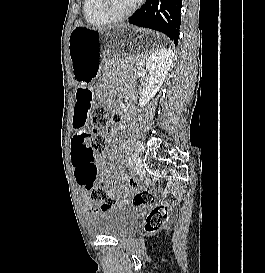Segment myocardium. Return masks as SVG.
Here are the masks:
<instances>
[{"label":"myocardium","instance_id":"f54148a6","mask_svg":"<svg viewBox=\"0 0 265 273\" xmlns=\"http://www.w3.org/2000/svg\"><path fill=\"white\" fill-rule=\"evenodd\" d=\"M141 0H135L133 5L125 12L120 14H113L108 9L109 0H97V10L101 17L109 23L124 20L131 16L138 8Z\"/></svg>","mask_w":265,"mask_h":273}]
</instances>
